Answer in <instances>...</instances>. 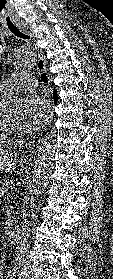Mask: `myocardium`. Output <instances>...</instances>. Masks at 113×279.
I'll return each instance as SVG.
<instances>
[{"label":"myocardium","mask_w":113,"mask_h":279,"mask_svg":"<svg viewBox=\"0 0 113 279\" xmlns=\"http://www.w3.org/2000/svg\"><path fill=\"white\" fill-rule=\"evenodd\" d=\"M9 109L10 108L6 106L0 112V130L1 133L7 138L14 137L20 132L19 128H16L9 123Z\"/></svg>","instance_id":"1"}]
</instances>
